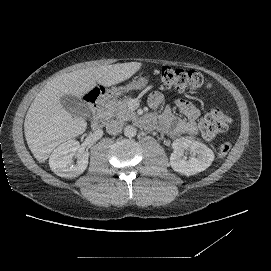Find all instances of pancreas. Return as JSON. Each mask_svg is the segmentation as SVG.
<instances>
[{
	"label": "pancreas",
	"mask_w": 271,
	"mask_h": 271,
	"mask_svg": "<svg viewBox=\"0 0 271 271\" xmlns=\"http://www.w3.org/2000/svg\"><path fill=\"white\" fill-rule=\"evenodd\" d=\"M129 98H125L123 100L112 99L106 105V109L117 118L121 120H128L135 113L128 108Z\"/></svg>",
	"instance_id": "cf45deb5"
}]
</instances>
